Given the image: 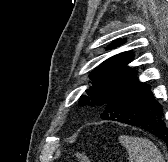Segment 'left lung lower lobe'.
<instances>
[{"label": "left lung lower lobe", "instance_id": "0a47b994", "mask_svg": "<svg viewBox=\"0 0 168 162\" xmlns=\"http://www.w3.org/2000/svg\"><path fill=\"white\" fill-rule=\"evenodd\" d=\"M100 117L141 128L168 146V128L163 122V108L155 100L150 86L140 83L136 74L109 96Z\"/></svg>", "mask_w": 168, "mask_h": 162}]
</instances>
